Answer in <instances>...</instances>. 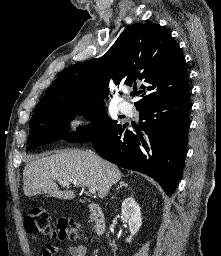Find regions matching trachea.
Listing matches in <instances>:
<instances>
[{
	"label": "trachea",
	"instance_id": "3493384b",
	"mask_svg": "<svg viewBox=\"0 0 221 256\" xmlns=\"http://www.w3.org/2000/svg\"><path fill=\"white\" fill-rule=\"evenodd\" d=\"M136 94H137V93L134 92V93H132V96H135Z\"/></svg>",
	"mask_w": 221,
	"mask_h": 256
}]
</instances>
